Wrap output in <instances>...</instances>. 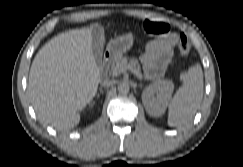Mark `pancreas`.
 <instances>
[{
    "label": "pancreas",
    "mask_w": 243,
    "mask_h": 167,
    "mask_svg": "<svg viewBox=\"0 0 243 167\" xmlns=\"http://www.w3.org/2000/svg\"><path fill=\"white\" fill-rule=\"evenodd\" d=\"M127 65H132L138 71V73L141 74L140 65L136 58H131L128 63V57L119 55L109 64L110 75L118 76L121 73V67Z\"/></svg>",
    "instance_id": "1"
}]
</instances>
